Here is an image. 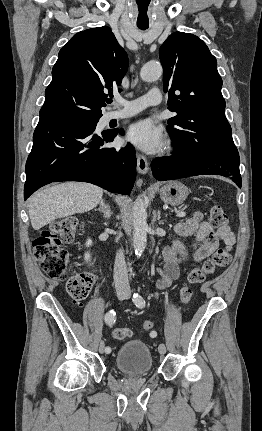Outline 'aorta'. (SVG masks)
<instances>
[{
    "label": "aorta",
    "instance_id": "obj_1",
    "mask_svg": "<svg viewBox=\"0 0 262 431\" xmlns=\"http://www.w3.org/2000/svg\"><path fill=\"white\" fill-rule=\"evenodd\" d=\"M162 74V66L158 62L145 64L140 71V77L143 81L152 82L157 80ZM147 212L145 204L141 198H138L134 204L133 212V246L136 255H141L147 243Z\"/></svg>",
    "mask_w": 262,
    "mask_h": 431
}]
</instances>
